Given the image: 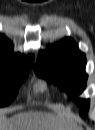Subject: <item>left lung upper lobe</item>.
Segmentation results:
<instances>
[{
  "label": "left lung upper lobe",
  "instance_id": "left-lung-upper-lobe-1",
  "mask_svg": "<svg viewBox=\"0 0 95 130\" xmlns=\"http://www.w3.org/2000/svg\"><path fill=\"white\" fill-rule=\"evenodd\" d=\"M85 65V55L78 50L72 39L65 38L58 45L41 52L34 70L38 76L57 84L70 96H76L85 88ZM76 102L80 114L86 116L89 101L78 99Z\"/></svg>",
  "mask_w": 95,
  "mask_h": 130
}]
</instances>
